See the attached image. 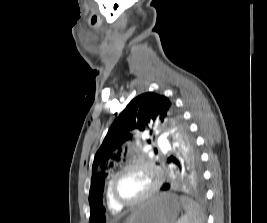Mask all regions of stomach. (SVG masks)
Returning a JSON list of instances; mask_svg holds the SVG:
<instances>
[{"mask_svg":"<svg viewBox=\"0 0 267 223\" xmlns=\"http://www.w3.org/2000/svg\"><path fill=\"white\" fill-rule=\"evenodd\" d=\"M180 210L181 201L175 194L158 193L139 204L126 223H175Z\"/></svg>","mask_w":267,"mask_h":223,"instance_id":"obj_1","label":"stomach"}]
</instances>
